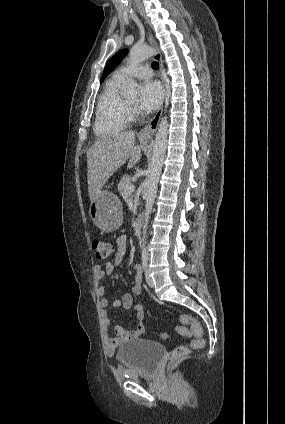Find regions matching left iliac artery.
I'll list each match as a JSON object with an SVG mask.
<instances>
[{"label":"left iliac artery","mask_w":285,"mask_h":424,"mask_svg":"<svg viewBox=\"0 0 285 424\" xmlns=\"http://www.w3.org/2000/svg\"><path fill=\"white\" fill-rule=\"evenodd\" d=\"M147 262H148V253L146 249L142 250V265L144 270L147 268Z\"/></svg>","instance_id":"obj_1"}]
</instances>
